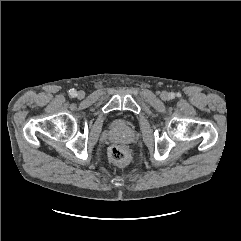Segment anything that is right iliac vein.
<instances>
[{"mask_svg":"<svg viewBox=\"0 0 241 241\" xmlns=\"http://www.w3.org/2000/svg\"><path fill=\"white\" fill-rule=\"evenodd\" d=\"M77 97H78L79 99H83V98L85 97V93H84L83 91H79V92L77 93Z\"/></svg>","mask_w":241,"mask_h":241,"instance_id":"right-iliac-vein-1","label":"right iliac vein"}]
</instances>
